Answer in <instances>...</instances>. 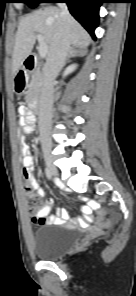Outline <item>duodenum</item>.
I'll return each mask as SVG.
<instances>
[{"label": "duodenum", "instance_id": "410a0bca", "mask_svg": "<svg viewBox=\"0 0 136 296\" xmlns=\"http://www.w3.org/2000/svg\"><path fill=\"white\" fill-rule=\"evenodd\" d=\"M39 60L36 56H28L25 60H24V71H20L17 75V81L19 83H25V74L24 72H30L33 71L37 64H38Z\"/></svg>", "mask_w": 136, "mask_h": 296}]
</instances>
